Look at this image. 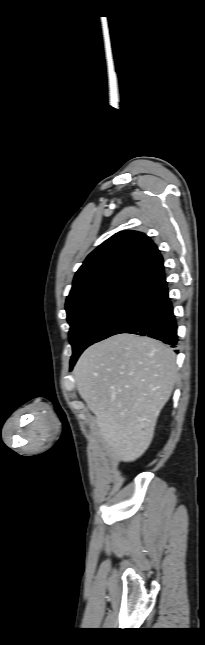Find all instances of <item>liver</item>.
I'll return each mask as SVG.
<instances>
[{"mask_svg":"<svg viewBox=\"0 0 205 645\" xmlns=\"http://www.w3.org/2000/svg\"><path fill=\"white\" fill-rule=\"evenodd\" d=\"M74 377L111 455L132 462L150 446L157 418L171 396L176 354L158 340L118 334L88 347Z\"/></svg>","mask_w":205,"mask_h":645,"instance_id":"1","label":"liver"}]
</instances>
